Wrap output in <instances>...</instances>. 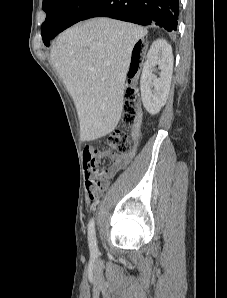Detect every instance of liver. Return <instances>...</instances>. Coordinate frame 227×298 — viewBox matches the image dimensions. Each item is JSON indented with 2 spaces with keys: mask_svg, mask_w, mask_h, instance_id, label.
<instances>
[{
  "mask_svg": "<svg viewBox=\"0 0 227 298\" xmlns=\"http://www.w3.org/2000/svg\"><path fill=\"white\" fill-rule=\"evenodd\" d=\"M146 34L143 27L100 17L57 38L50 57L76 106L81 141L104 137L117 126L132 50Z\"/></svg>",
  "mask_w": 227,
  "mask_h": 298,
  "instance_id": "liver-1",
  "label": "liver"
}]
</instances>
